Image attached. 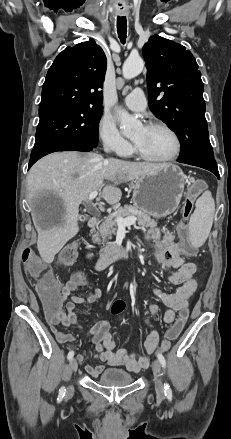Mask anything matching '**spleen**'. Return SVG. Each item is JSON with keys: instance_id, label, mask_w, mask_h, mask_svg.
<instances>
[{"instance_id": "spleen-1", "label": "spleen", "mask_w": 231, "mask_h": 439, "mask_svg": "<svg viewBox=\"0 0 231 439\" xmlns=\"http://www.w3.org/2000/svg\"><path fill=\"white\" fill-rule=\"evenodd\" d=\"M214 212V199L210 191H205L196 201L189 222V236L194 247H200L206 241L213 224Z\"/></svg>"}]
</instances>
